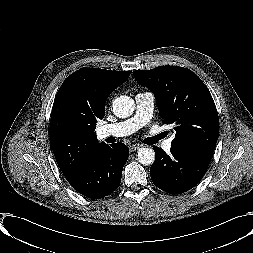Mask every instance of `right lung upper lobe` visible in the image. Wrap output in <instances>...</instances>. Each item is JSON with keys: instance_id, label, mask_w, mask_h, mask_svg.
<instances>
[{"instance_id": "1", "label": "right lung upper lobe", "mask_w": 253, "mask_h": 253, "mask_svg": "<svg viewBox=\"0 0 253 253\" xmlns=\"http://www.w3.org/2000/svg\"><path fill=\"white\" fill-rule=\"evenodd\" d=\"M131 71L80 69L63 82L52 107L50 141L55 159L70 183L77 178L99 144L96 123L105 115L110 93Z\"/></svg>"}]
</instances>
